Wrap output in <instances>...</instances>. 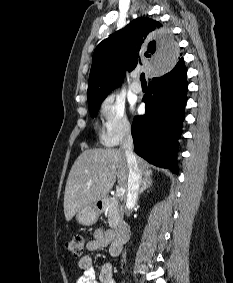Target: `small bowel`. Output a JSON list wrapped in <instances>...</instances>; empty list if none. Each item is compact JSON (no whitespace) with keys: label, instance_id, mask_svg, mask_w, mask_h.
<instances>
[{"label":"small bowel","instance_id":"c3829d8e","mask_svg":"<svg viewBox=\"0 0 233 283\" xmlns=\"http://www.w3.org/2000/svg\"><path fill=\"white\" fill-rule=\"evenodd\" d=\"M108 247L111 256H118L114 245V233L110 230L96 229L93 231V238L86 244L88 251H98ZM79 268L83 271L76 283H116L113 278L112 266L109 263L104 264L99 273V279L96 278L93 260L90 256H82L78 261Z\"/></svg>","mask_w":233,"mask_h":283}]
</instances>
